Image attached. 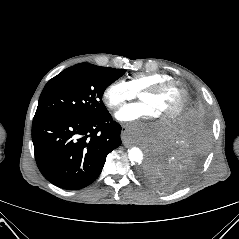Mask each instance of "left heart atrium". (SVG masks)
<instances>
[{
  "instance_id": "39dd6f15",
  "label": "left heart atrium",
  "mask_w": 239,
  "mask_h": 239,
  "mask_svg": "<svg viewBox=\"0 0 239 239\" xmlns=\"http://www.w3.org/2000/svg\"><path fill=\"white\" fill-rule=\"evenodd\" d=\"M116 118L125 123H132L138 120H151L154 119V114L150 107L143 103H132L125 107H123L117 114ZM146 125H139L135 127L134 130L136 132H142Z\"/></svg>"
}]
</instances>
